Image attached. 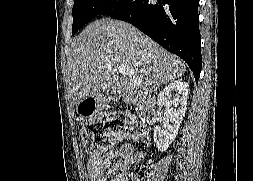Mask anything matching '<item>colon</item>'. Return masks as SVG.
<instances>
[{"instance_id":"colon-1","label":"colon","mask_w":253,"mask_h":181,"mask_svg":"<svg viewBox=\"0 0 253 181\" xmlns=\"http://www.w3.org/2000/svg\"><path fill=\"white\" fill-rule=\"evenodd\" d=\"M123 135L137 138L143 136L140 125L130 122L121 112L102 113L83 125L81 136L86 150L90 154L107 151ZM122 181H135L132 175Z\"/></svg>"}]
</instances>
